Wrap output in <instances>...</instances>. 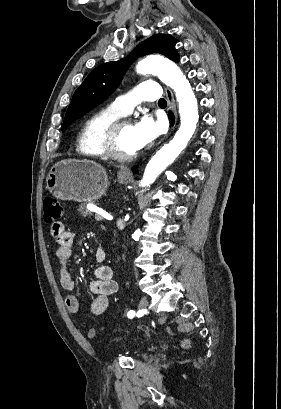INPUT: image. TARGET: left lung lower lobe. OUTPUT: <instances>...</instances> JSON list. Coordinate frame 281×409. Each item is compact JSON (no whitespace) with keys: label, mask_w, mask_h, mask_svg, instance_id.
Instances as JSON below:
<instances>
[{"label":"left lung lower lobe","mask_w":281,"mask_h":409,"mask_svg":"<svg viewBox=\"0 0 281 409\" xmlns=\"http://www.w3.org/2000/svg\"><path fill=\"white\" fill-rule=\"evenodd\" d=\"M169 119L171 121V124H173L174 123V116H173V114L171 112H169ZM133 171L136 173L137 172V167H134Z\"/></svg>","instance_id":"0a47b994"}]
</instances>
